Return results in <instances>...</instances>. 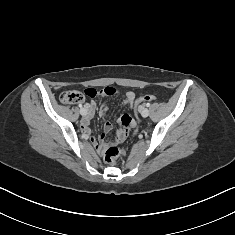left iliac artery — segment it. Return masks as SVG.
Listing matches in <instances>:
<instances>
[{"label": "left iliac artery", "instance_id": "obj_1", "mask_svg": "<svg viewBox=\"0 0 235 235\" xmlns=\"http://www.w3.org/2000/svg\"><path fill=\"white\" fill-rule=\"evenodd\" d=\"M146 106L149 107V106H150V103H147Z\"/></svg>", "mask_w": 235, "mask_h": 235}]
</instances>
